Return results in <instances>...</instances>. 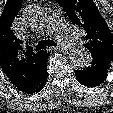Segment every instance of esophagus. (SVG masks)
<instances>
[{"instance_id": "obj_1", "label": "esophagus", "mask_w": 113, "mask_h": 113, "mask_svg": "<svg viewBox=\"0 0 113 113\" xmlns=\"http://www.w3.org/2000/svg\"><path fill=\"white\" fill-rule=\"evenodd\" d=\"M55 49L56 50H67V47L66 46H57Z\"/></svg>"}]
</instances>
